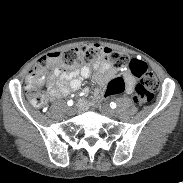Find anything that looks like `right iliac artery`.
I'll return each instance as SVG.
<instances>
[{
	"instance_id": "1",
	"label": "right iliac artery",
	"mask_w": 183,
	"mask_h": 183,
	"mask_svg": "<svg viewBox=\"0 0 183 183\" xmlns=\"http://www.w3.org/2000/svg\"><path fill=\"white\" fill-rule=\"evenodd\" d=\"M67 104H68L69 106H72V105H73V101H72V100H69V101L67 102Z\"/></svg>"
}]
</instances>
